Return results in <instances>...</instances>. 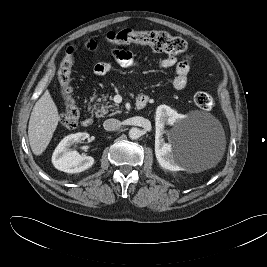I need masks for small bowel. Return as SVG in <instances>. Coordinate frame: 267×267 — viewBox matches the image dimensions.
<instances>
[{
	"mask_svg": "<svg viewBox=\"0 0 267 267\" xmlns=\"http://www.w3.org/2000/svg\"><path fill=\"white\" fill-rule=\"evenodd\" d=\"M76 51L84 48L93 51L97 48V43L94 39L86 40L81 46H70ZM113 64H117L123 68H133L137 62L133 54L128 50L113 49L109 52L108 58L97 62L93 67V72L97 76L106 75L112 68ZM160 69H168L175 67V76L172 81V86L175 90H182L188 82V74L190 65L188 61L177 62L174 56H168L157 63Z\"/></svg>",
	"mask_w": 267,
	"mask_h": 267,
	"instance_id": "obj_1",
	"label": "small bowel"
}]
</instances>
